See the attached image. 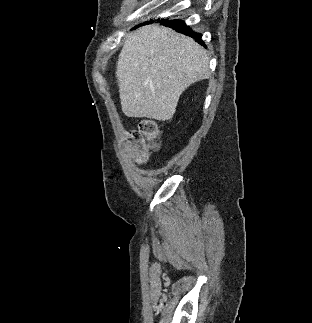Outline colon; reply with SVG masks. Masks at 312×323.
<instances>
[{"mask_svg": "<svg viewBox=\"0 0 312 323\" xmlns=\"http://www.w3.org/2000/svg\"><path fill=\"white\" fill-rule=\"evenodd\" d=\"M130 138L138 148V157L145 155V150H152L159 145L157 126L154 122L143 120L137 130L131 132Z\"/></svg>", "mask_w": 312, "mask_h": 323, "instance_id": "1", "label": "colon"}]
</instances>
